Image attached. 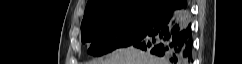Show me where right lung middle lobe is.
<instances>
[{
    "mask_svg": "<svg viewBox=\"0 0 242 64\" xmlns=\"http://www.w3.org/2000/svg\"><path fill=\"white\" fill-rule=\"evenodd\" d=\"M160 12L132 9L96 17L81 25V40L89 42L88 53L101 56L131 46L158 21Z\"/></svg>",
    "mask_w": 242,
    "mask_h": 64,
    "instance_id": "right-lung-middle-lobe-1",
    "label": "right lung middle lobe"
}]
</instances>
